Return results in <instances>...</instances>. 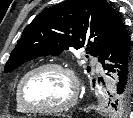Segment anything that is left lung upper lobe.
I'll return each instance as SVG.
<instances>
[{"mask_svg":"<svg viewBox=\"0 0 133 118\" xmlns=\"http://www.w3.org/2000/svg\"><path fill=\"white\" fill-rule=\"evenodd\" d=\"M122 24L106 0H66L44 10L25 27L5 64V72L39 56L59 55L69 47H84L88 54L100 56ZM111 97L108 113L125 115L131 91L121 95L113 93Z\"/></svg>","mask_w":133,"mask_h":118,"instance_id":"5c2ea615","label":"left lung upper lobe"}]
</instances>
